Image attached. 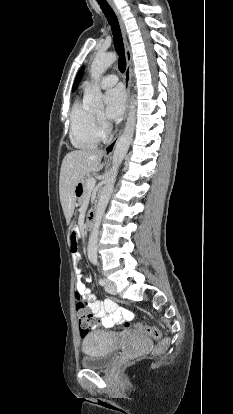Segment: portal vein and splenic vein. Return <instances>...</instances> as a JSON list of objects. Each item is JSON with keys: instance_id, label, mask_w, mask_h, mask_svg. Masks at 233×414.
<instances>
[{"instance_id": "obj_1", "label": "portal vein and splenic vein", "mask_w": 233, "mask_h": 414, "mask_svg": "<svg viewBox=\"0 0 233 414\" xmlns=\"http://www.w3.org/2000/svg\"><path fill=\"white\" fill-rule=\"evenodd\" d=\"M96 184V180L94 178H89L87 180V185L90 189H93Z\"/></svg>"}]
</instances>
